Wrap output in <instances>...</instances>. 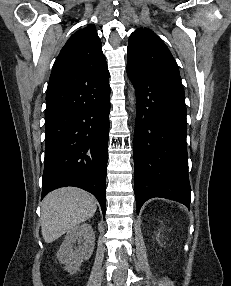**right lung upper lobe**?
<instances>
[{"instance_id": "1", "label": "right lung upper lobe", "mask_w": 231, "mask_h": 286, "mask_svg": "<svg viewBox=\"0 0 231 286\" xmlns=\"http://www.w3.org/2000/svg\"><path fill=\"white\" fill-rule=\"evenodd\" d=\"M108 73L96 28L87 26L73 34L53 66L46 94L47 104L69 95V91Z\"/></svg>"}]
</instances>
